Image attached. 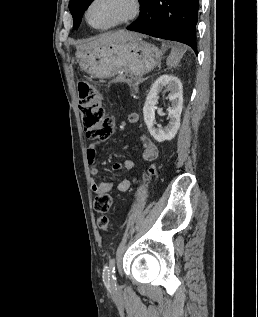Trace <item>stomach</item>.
I'll list each match as a JSON object with an SVG mask.
<instances>
[{
    "mask_svg": "<svg viewBox=\"0 0 258 317\" xmlns=\"http://www.w3.org/2000/svg\"><path fill=\"white\" fill-rule=\"evenodd\" d=\"M162 54L163 50L145 42L139 34L127 42L102 44L95 48H77L75 52L82 70L98 78H108L121 72L143 76L159 64Z\"/></svg>",
    "mask_w": 258,
    "mask_h": 317,
    "instance_id": "stomach-1",
    "label": "stomach"
}]
</instances>
